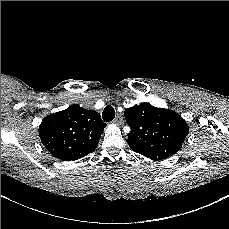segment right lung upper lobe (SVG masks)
I'll use <instances>...</instances> for the list:
<instances>
[{
	"mask_svg": "<svg viewBox=\"0 0 229 229\" xmlns=\"http://www.w3.org/2000/svg\"><path fill=\"white\" fill-rule=\"evenodd\" d=\"M105 126L98 112L74 104L46 116L39 126V135L55 158L73 161L96 149Z\"/></svg>",
	"mask_w": 229,
	"mask_h": 229,
	"instance_id": "right-lung-upper-lobe-1",
	"label": "right lung upper lobe"
}]
</instances>
